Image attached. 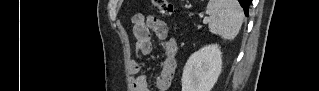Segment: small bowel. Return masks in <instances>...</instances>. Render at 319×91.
Segmentation results:
<instances>
[{
    "mask_svg": "<svg viewBox=\"0 0 319 91\" xmlns=\"http://www.w3.org/2000/svg\"><path fill=\"white\" fill-rule=\"evenodd\" d=\"M134 35L136 38L137 58L131 63V73L138 74L141 64L139 55H148L152 52V38L150 31H153L156 38L161 42L163 58L160 63V74L155 80V88L158 91L169 90L177 67V41L169 36V29L166 23L155 16L136 14L133 16ZM133 91H151L146 75H137L132 79Z\"/></svg>",
    "mask_w": 319,
    "mask_h": 91,
    "instance_id": "obj_1",
    "label": "small bowel"
}]
</instances>
